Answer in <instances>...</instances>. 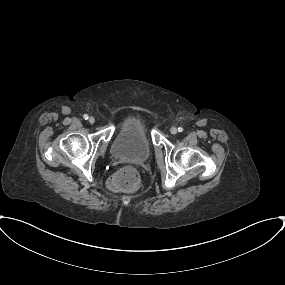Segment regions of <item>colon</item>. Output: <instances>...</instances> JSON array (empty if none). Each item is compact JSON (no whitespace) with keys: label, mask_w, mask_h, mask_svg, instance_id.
<instances>
[{"label":"colon","mask_w":285,"mask_h":285,"mask_svg":"<svg viewBox=\"0 0 285 285\" xmlns=\"http://www.w3.org/2000/svg\"><path fill=\"white\" fill-rule=\"evenodd\" d=\"M138 184V172L131 166L119 169L109 180L110 188L117 191H133Z\"/></svg>","instance_id":"colon-1"}]
</instances>
